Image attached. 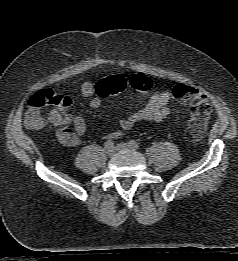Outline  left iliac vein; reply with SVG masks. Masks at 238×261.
<instances>
[{"label":"left iliac vein","instance_id":"4c4485c4","mask_svg":"<svg viewBox=\"0 0 238 261\" xmlns=\"http://www.w3.org/2000/svg\"><path fill=\"white\" fill-rule=\"evenodd\" d=\"M134 149L128 143H119L116 146V150Z\"/></svg>","mask_w":238,"mask_h":261}]
</instances>
